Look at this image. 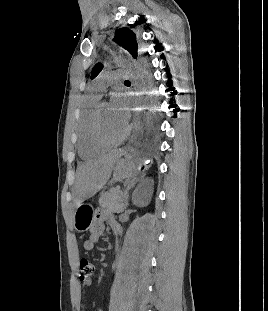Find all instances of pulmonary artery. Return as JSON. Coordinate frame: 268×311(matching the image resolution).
<instances>
[{
	"label": "pulmonary artery",
	"mask_w": 268,
	"mask_h": 311,
	"mask_svg": "<svg viewBox=\"0 0 268 311\" xmlns=\"http://www.w3.org/2000/svg\"><path fill=\"white\" fill-rule=\"evenodd\" d=\"M130 77V73L127 70L118 69L97 77L91 86V91L94 95L101 97V93L105 90L107 86L112 83L121 82Z\"/></svg>",
	"instance_id": "e3ab8cb5"
}]
</instances>
